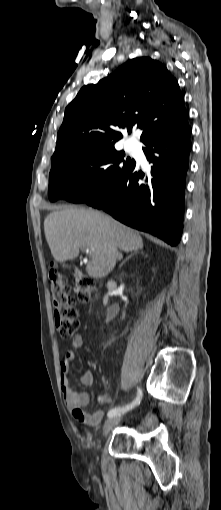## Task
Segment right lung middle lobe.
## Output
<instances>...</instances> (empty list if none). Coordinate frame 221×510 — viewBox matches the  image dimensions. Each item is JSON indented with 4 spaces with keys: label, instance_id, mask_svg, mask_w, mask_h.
Returning <instances> with one entry per match:
<instances>
[{
    "label": "right lung middle lobe",
    "instance_id": "right-lung-middle-lobe-1",
    "mask_svg": "<svg viewBox=\"0 0 221 510\" xmlns=\"http://www.w3.org/2000/svg\"><path fill=\"white\" fill-rule=\"evenodd\" d=\"M135 164L114 145L71 152L52 166L48 197L51 201L86 202L114 186Z\"/></svg>",
    "mask_w": 221,
    "mask_h": 510
}]
</instances>
